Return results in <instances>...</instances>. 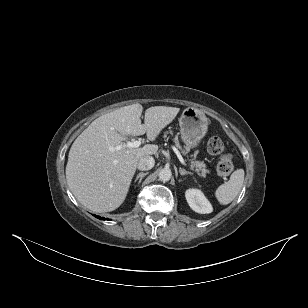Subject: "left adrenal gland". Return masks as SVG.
<instances>
[{"mask_svg": "<svg viewBox=\"0 0 308 308\" xmlns=\"http://www.w3.org/2000/svg\"><path fill=\"white\" fill-rule=\"evenodd\" d=\"M179 172H180V174L182 175V176H184V175H192L193 173L192 172H189V171H186L185 169H183V168H179Z\"/></svg>", "mask_w": 308, "mask_h": 308, "instance_id": "1", "label": "left adrenal gland"}]
</instances>
